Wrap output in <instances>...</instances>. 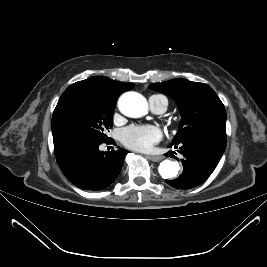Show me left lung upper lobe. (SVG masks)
I'll return each instance as SVG.
<instances>
[{
	"label": "left lung upper lobe",
	"mask_w": 267,
	"mask_h": 267,
	"mask_svg": "<svg viewBox=\"0 0 267 267\" xmlns=\"http://www.w3.org/2000/svg\"><path fill=\"white\" fill-rule=\"evenodd\" d=\"M149 88L170 96L181 111L179 130L171 145L200 136L226 138L224 105L208 85L179 78L154 83Z\"/></svg>",
	"instance_id": "obj_1"
}]
</instances>
